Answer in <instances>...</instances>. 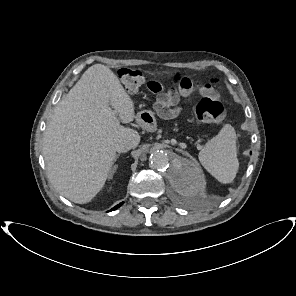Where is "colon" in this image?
Here are the masks:
<instances>
[{"label": "colon", "instance_id": "colon-1", "mask_svg": "<svg viewBox=\"0 0 296 296\" xmlns=\"http://www.w3.org/2000/svg\"><path fill=\"white\" fill-rule=\"evenodd\" d=\"M121 82L128 90L139 89L144 81V75L140 70L122 68L119 70ZM177 87L182 92H189L193 89L205 91L209 85L203 83L200 79H194L191 76L176 75L174 78ZM195 115L198 122L208 124L219 121L224 115V107L222 103L212 97H203L199 99L195 105Z\"/></svg>", "mask_w": 296, "mask_h": 296}]
</instances>
